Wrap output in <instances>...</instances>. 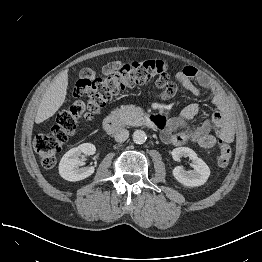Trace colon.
I'll list each match as a JSON object with an SVG mask.
<instances>
[{"label":"colon","instance_id":"1","mask_svg":"<svg viewBox=\"0 0 262 262\" xmlns=\"http://www.w3.org/2000/svg\"><path fill=\"white\" fill-rule=\"evenodd\" d=\"M155 83L159 88L170 85L167 66L161 60L145 59L128 64L112 62L102 67L96 74L91 69L80 71L75 84L77 95L70 105L62 110L55 123L46 133L38 134L33 146L41 157L42 165L54 166L63 144L73 134L79 118L85 114L91 116L100 111L105 104L121 91L135 85ZM231 161V148L224 141L216 146V163L225 168Z\"/></svg>","mask_w":262,"mask_h":262}]
</instances>
